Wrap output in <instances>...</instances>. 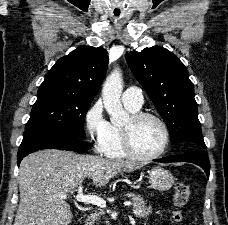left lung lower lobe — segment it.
<instances>
[{"label":"left lung lower lobe","instance_id":"obj_1","mask_svg":"<svg viewBox=\"0 0 228 225\" xmlns=\"http://www.w3.org/2000/svg\"><path fill=\"white\" fill-rule=\"evenodd\" d=\"M161 163H170V162H189L196 164L204 169L209 178L210 173V164L208 156L206 155L205 150H195L185 154L173 155L160 160H156Z\"/></svg>","mask_w":228,"mask_h":225}]
</instances>
